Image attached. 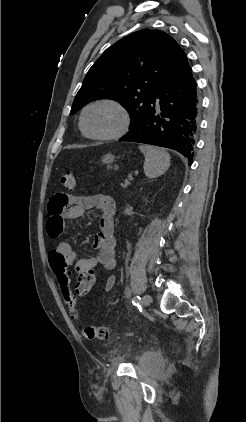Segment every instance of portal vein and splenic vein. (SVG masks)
Instances as JSON below:
<instances>
[{
  "mask_svg": "<svg viewBox=\"0 0 246 422\" xmlns=\"http://www.w3.org/2000/svg\"><path fill=\"white\" fill-rule=\"evenodd\" d=\"M133 180V177L131 176V177H129V179H128V181L126 182V184H129L130 183V181H132Z\"/></svg>",
  "mask_w": 246,
  "mask_h": 422,
  "instance_id": "1",
  "label": "portal vein and splenic vein"
}]
</instances>
